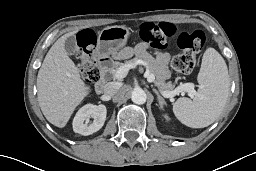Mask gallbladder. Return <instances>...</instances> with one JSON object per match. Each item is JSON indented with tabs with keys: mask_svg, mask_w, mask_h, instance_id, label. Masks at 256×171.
Returning a JSON list of instances; mask_svg holds the SVG:
<instances>
[{
	"mask_svg": "<svg viewBox=\"0 0 256 171\" xmlns=\"http://www.w3.org/2000/svg\"><path fill=\"white\" fill-rule=\"evenodd\" d=\"M64 48H65V51L68 55H74L77 50H78V47H77V44H76V38L74 35L72 36H69L66 40H65V43H64Z\"/></svg>",
	"mask_w": 256,
	"mask_h": 171,
	"instance_id": "gallbladder-1",
	"label": "gallbladder"
}]
</instances>
